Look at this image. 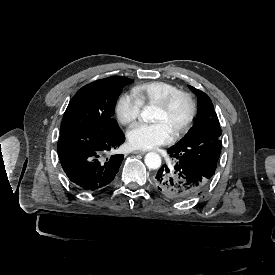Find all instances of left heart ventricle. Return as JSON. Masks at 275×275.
<instances>
[{
	"label": "left heart ventricle",
	"instance_id": "obj_1",
	"mask_svg": "<svg viewBox=\"0 0 275 275\" xmlns=\"http://www.w3.org/2000/svg\"><path fill=\"white\" fill-rule=\"evenodd\" d=\"M154 106L152 121L163 123L172 135L185 123L188 117V105L182 98L177 99L167 110H163L157 105Z\"/></svg>",
	"mask_w": 275,
	"mask_h": 275
}]
</instances>
